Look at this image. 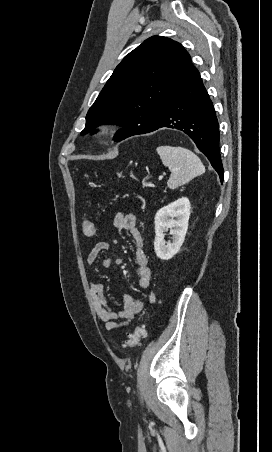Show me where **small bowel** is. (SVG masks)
I'll use <instances>...</instances> for the list:
<instances>
[{"label":"small bowel","instance_id":"small-bowel-1","mask_svg":"<svg viewBox=\"0 0 272 452\" xmlns=\"http://www.w3.org/2000/svg\"><path fill=\"white\" fill-rule=\"evenodd\" d=\"M114 225L117 229L124 230L131 236L135 246V261L138 269V286L141 289L149 288L152 278V271L145 252L142 235L137 228V218L135 214L130 212H118L114 218ZM109 248V242H97L87 254V264L93 265L99 255L102 252L107 251ZM113 262L114 260L109 257L101 259V264L104 267L111 266ZM115 262H117V260H115ZM89 289L93 297L96 313L109 330L128 325L134 316L139 314L145 307V303L143 301L134 299L130 295H125L123 308L117 313L113 311L107 303L104 296V286L101 283L95 280H90ZM154 300V295L150 294L149 302L152 303Z\"/></svg>","mask_w":272,"mask_h":452}]
</instances>
